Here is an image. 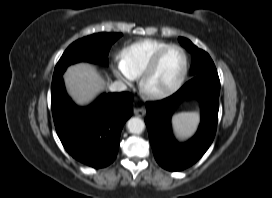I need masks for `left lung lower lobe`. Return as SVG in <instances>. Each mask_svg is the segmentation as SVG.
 <instances>
[{
  "label": "left lung lower lobe",
  "mask_w": 272,
  "mask_h": 198,
  "mask_svg": "<svg viewBox=\"0 0 272 198\" xmlns=\"http://www.w3.org/2000/svg\"><path fill=\"white\" fill-rule=\"evenodd\" d=\"M220 81L217 71L193 76L172 96L147 102L145 123L158 164L169 171H181L197 162L211 145L217 127ZM197 97L201 105V123L195 136L178 143L171 130V115L188 97Z\"/></svg>",
  "instance_id": "obj_1"
}]
</instances>
